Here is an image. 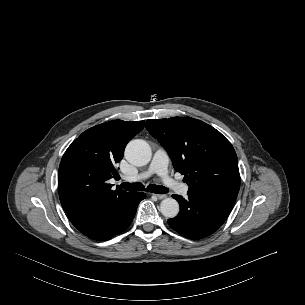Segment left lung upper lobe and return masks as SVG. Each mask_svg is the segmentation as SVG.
Masks as SVG:
<instances>
[{
	"label": "left lung upper lobe",
	"instance_id": "obj_1",
	"mask_svg": "<svg viewBox=\"0 0 305 305\" xmlns=\"http://www.w3.org/2000/svg\"><path fill=\"white\" fill-rule=\"evenodd\" d=\"M146 129L184 175L188 191L239 192L238 160L231 143L212 126L189 117L147 120Z\"/></svg>",
	"mask_w": 305,
	"mask_h": 305
}]
</instances>
